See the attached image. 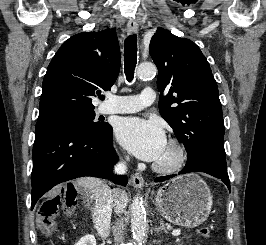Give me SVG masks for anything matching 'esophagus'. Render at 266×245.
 Here are the masks:
<instances>
[{"label": "esophagus", "instance_id": "obj_1", "mask_svg": "<svg viewBox=\"0 0 266 245\" xmlns=\"http://www.w3.org/2000/svg\"><path fill=\"white\" fill-rule=\"evenodd\" d=\"M138 31V23L135 19H131L128 21L127 24V33L130 34H135ZM131 183L133 187L142 189L144 186V179L141 175L135 173L131 175Z\"/></svg>", "mask_w": 266, "mask_h": 245}]
</instances>
